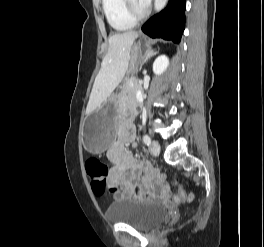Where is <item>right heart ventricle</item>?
Instances as JSON below:
<instances>
[{
	"mask_svg": "<svg viewBox=\"0 0 264 247\" xmlns=\"http://www.w3.org/2000/svg\"><path fill=\"white\" fill-rule=\"evenodd\" d=\"M102 7L108 23L117 31H125L134 27L133 20L125 9L124 0H102Z\"/></svg>",
	"mask_w": 264,
	"mask_h": 247,
	"instance_id": "1",
	"label": "right heart ventricle"
}]
</instances>
